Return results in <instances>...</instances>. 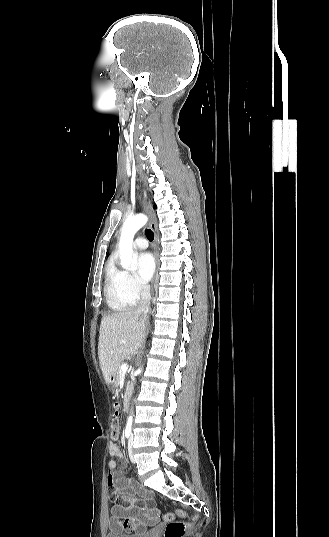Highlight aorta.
Instances as JSON below:
<instances>
[{
  "instance_id": "obj_1",
  "label": "aorta",
  "mask_w": 329,
  "mask_h": 537,
  "mask_svg": "<svg viewBox=\"0 0 329 537\" xmlns=\"http://www.w3.org/2000/svg\"><path fill=\"white\" fill-rule=\"evenodd\" d=\"M147 220L148 218L145 215L137 214L127 218L123 224L119 241V254L121 266L126 270H133L135 268L132 248L133 239L136 232L147 223ZM141 371V369H138V374H140ZM132 422L133 416L131 415L128 417L127 425L131 426Z\"/></svg>"
}]
</instances>
